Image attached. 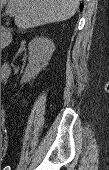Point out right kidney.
Returning <instances> with one entry per match:
<instances>
[{
    "label": "right kidney",
    "mask_w": 109,
    "mask_h": 170,
    "mask_svg": "<svg viewBox=\"0 0 109 170\" xmlns=\"http://www.w3.org/2000/svg\"><path fill=\"white\" fill-rule=\"evenodd\" d=\"M29 63L26 67L23 79L29 81L44 69L54 52L53 41L46 37H36L29 43Z\"/></svg>",
    "instance_id": "obj_1"
}]
</instances>
